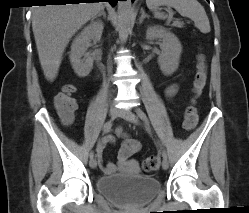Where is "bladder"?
Segmentation results:
<instances>
[{
	"label": "bladder",
	"instance_id": "bladder-1",
	"mask_svg": "<svg viewBox=\"0 0 249 213\" xmlns=\"http://www.w3.org/2000/svg\"><path fill=\"white\" fill-rule=\"evenodd\" d=\"M97 190L120 206L135 207L149 202L160 191V183L147 175L115 174L99 177Z\"/></svg>",
	"mask_w": 249,
	"mask_h": 213
}]
</instances>
